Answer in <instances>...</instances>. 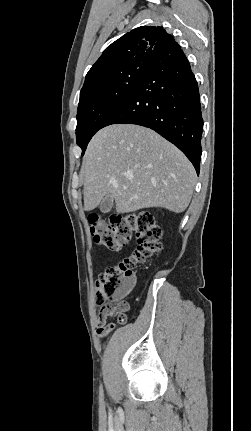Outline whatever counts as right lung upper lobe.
I'll return each mask as SVG.
<instances>
[{"instance_id": "1", "label": "right lung upper lobe", "mask_w": 251, "mask_h": 431, "mask_svg": "<svg viewBox=\"0 0 251 431\" xmlns=\"http://www.w3.org/2000/svg\"><path fill=\"white\" fill-rule=\"evenodd\" d=\"M174 38L162 27L141 26L108 46L88 71L83 88L136 62H148L154 54H173L180 50Z\"/></svg>"}]
</instances>
